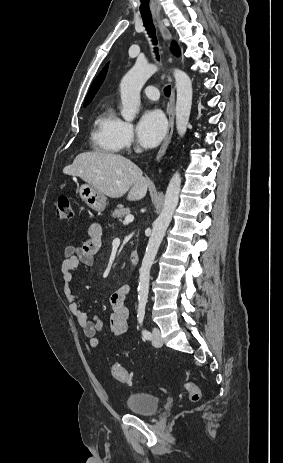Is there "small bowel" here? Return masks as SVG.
Wrapping results in <instances>:
<instances>
[{
    "label": "small bowel",
    "mask_w": 283,
    "mask_h": 463,
    "mask_svg": "<svg viewBox=\"0 0 283 463\" xmlns=\"http://www.w3.org/2000/svg\"><path fill=\"white\" fill-rule=\"evenodd\" d=\"M102 226L98 222H92L88 228V237L77 246H68L64 250L62 263L63 292L68 302L70 313L83 329L85 336L89 339L90 345L97 348L100 345L98 334L103 330L102 320L94 315L89 317L81 308L80 302L72 289L73 271L84 264L91 267L95 261V255L101 247ZM130 287L127 284L120 286L110 296L112 313L109 317V330L116 336H128L130 332V310L125 304Z\"/></svg>",
    "instance_id": "obj_1"
}]
</instances>
